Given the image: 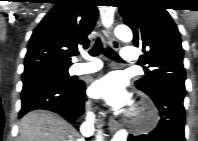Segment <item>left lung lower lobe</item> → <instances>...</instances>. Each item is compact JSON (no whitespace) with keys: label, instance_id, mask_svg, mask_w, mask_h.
<instances>
[{"label":"left lung lower lobe","instance_id":"obj_1","mask_svg":"<svg viewBox=\"0 0 198 141\" xmlns=\"http://www.w3.org/2000/svg\"><path fill=\"white\" fill-rule=\"evenodd\" d=\"M185 94V89L176 86H163L150 94L160 113L158 127L147 135L130 136L128 141H185Z\"/></svg>","mask_w":198,"mask_h":141}]
</instances>
